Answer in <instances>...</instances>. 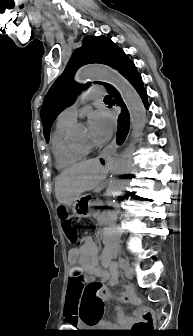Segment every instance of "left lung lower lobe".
Here are the masks:
<instances>
[{"mask_svg": "<svg viewBox=\"0 0 193 336\" xmlns=\"http://www.w3.org/2000/svg\"><path fill=\"white\" fill-rule=\"evenodd\" d=\"M114 68L117 69L126 79H128V81L137 90L144 105L148 107L147 93L143 87L142 78L140 74L137 72L134 63L131 60H129V58L124 54L123 51L119 52L115 61ZM106 89L108 93L113 98H115L117 105L122 107V112L118 117V130H117V142L118 144H121L125 140L129 130L130 125L129 112L117 90L111 85L106 86Z\"/></svg>", "mask_w": 193, "mask_h": 336, "instance_id": "1", "label": "left lung lower lobe"}]
</instances>
